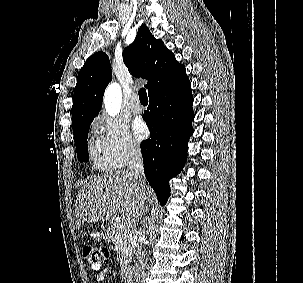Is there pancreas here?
<instances>
[{"instance_id": "1", "label": "pancreas", "mask_w": 303, "mask_h": 283, "mask_svg": "<svg viewBox=\"0 0 303 283\" xmlns=\"http://www.w3.org/2000/svg\"><path fill=\"white\" fill-rule=\"evenodd\" d=\"M108 239L115 245L119 255L120 266H126L133 256V246L131 245L132 232L129 226L122 223H115L108 233Z\"/></svg>"}]
</instances>
